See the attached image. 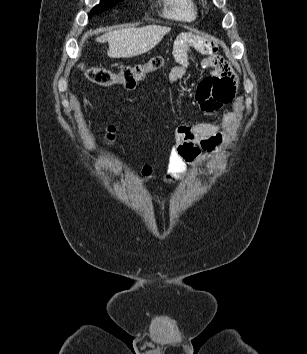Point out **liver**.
I'll list each match as a JSON object with an SVG mask.
<instances>
[{
	"instance_id": "6515ba94",
	"label": "liver",
	"mask_w": 307,
	"mask_h": 354,
	"mask_svg": "<svg viewBox=\"0 0 307 354\" xmlns=\"http://www.w3.org/2000/svg\"><path fill=\"white\" fill-rule=\"evenodd\" d=\"M170 30V27L157 25L131 27L108 32L96 40L108 41L110 58H131L153 49Z\"/></svg>"
}]
</instances>
